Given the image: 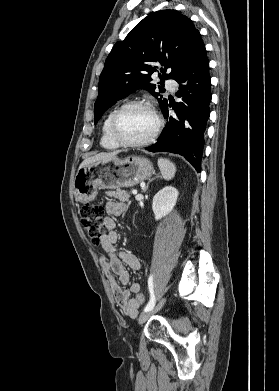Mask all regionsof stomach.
<instances>
[{
    "label": "stomach",
    "mask_w": 279,
    "mask_h": 391,
    "mask_svg": "<svg viewBox=\"0 0 279 391\" xmlns=\"http://www.w3.org/2000/svg\"><path fill=\"white\" fill-rule=\"evenodd\" d=\"M153 173L152 163L144 157L95 162L78 170L74 180L75 197L81 203H88L95 199L100 188L132 187L150 178Z\"/></svg>",
    "instance_id": "0dacf381"
}]
</instances>
